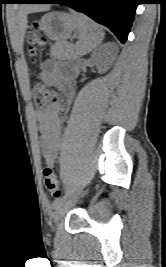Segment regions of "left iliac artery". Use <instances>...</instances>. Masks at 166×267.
I'll return each mask as SVG.
<instances>
[{"label": "left iliac artery", "instance_id": "left-iliac-artery-1", "mask_svg": "<svg viewBox=\"0 0 166 267\" xmlns=\"http://www.w3.org/2000/svg\"><path fill=\"white\" fill-rule=\"evenodd\" d=\"M64 201H65V196H64L63 198H61V199L55 201V202L53 203V208H54V209L59 208V207L64 203Z\"/></svg>", "mask_w": 166, "mask_h": 267}]
</instances>
